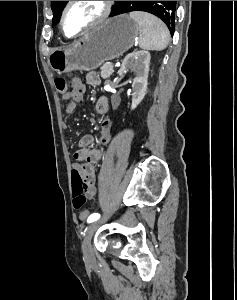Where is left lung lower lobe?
Here are the masks:
<instances>
[{
	"mask_svg": "<svg viewBox=\"0 0 237 300\" xmlns=\"http://www.w3.org/2000/svg\"><path fill=\"white\" fill-rule=\"evenodd\" d=\"M163 3H166V1H163ZM111 16H115V13L113 12V14Z\"/></svg>",
	"mask_w": 237,
	"mask_h": 300,
	"instance_id": "left-lung-lower-lobe-1",
	"label": "left lung lower lobe"
}]
</instances>
